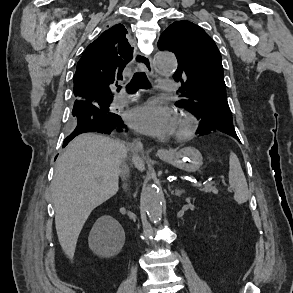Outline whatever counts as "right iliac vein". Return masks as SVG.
Segmentation results:
<instances>
[{
    "label": "right iliac vein",
    "mask_w": 293,
    "mask_h": 293,
    "mask_svg": "<svg viewBox=\"0 0 293 293\" xmlns=\"http://www.w3.org/2000/svg\"><path fill=\"white\" fill-rule=\"evenodd\" d=\"M139 293H145L141 287L139 288Z\"/></svg>",
    "instance_id": "63e3f726"
}]
</instances>
